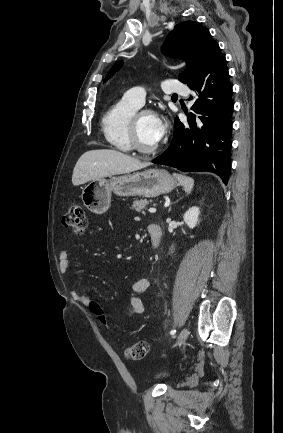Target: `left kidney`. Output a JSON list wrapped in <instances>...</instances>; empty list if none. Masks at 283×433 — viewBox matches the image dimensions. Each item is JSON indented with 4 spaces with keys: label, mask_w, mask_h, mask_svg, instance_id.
I'll return each instance as SVG.
<instances>
[{
    "label": "left kidney",
    "mask_w": 283,
    "mask_h": 433,
    "mask_svg": "<svg viewBox=\"0 0 283 433\" xmlns=\"http://www.w3.org/2000/svg\"><path fill=\"white\" fill-rule=\"evenodd\" d=\"M199 214L200 210L196 206L189 208L185 212L183 218L190 229H193L197 225Z\"/></svg>",
    "instance_id": "1"
}]
</instances>
